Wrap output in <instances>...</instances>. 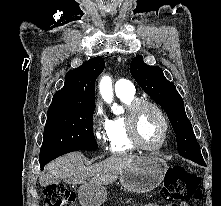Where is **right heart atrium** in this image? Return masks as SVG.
I'll list each match as a JSON object with an SVG mask.
<instances>
[{
    "label": "right heart atrium",
    "instance_id": "1",
    "mask_svg": "<svg viewBox=\"0 0 221 206\" xmlns=\"http://www.w3.org/2000/svg\"><path fill=\"white\" fill-rule=\"evenodd\" d=\"M94 123H95V137L99 142H101L103 139H106L108 137V133H107V120L103 115V111L100 105H97L95 107Z\"/></svg>",
    "mask_w": 221,
    "mask_h": 206
}]
</instances>
